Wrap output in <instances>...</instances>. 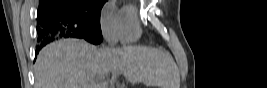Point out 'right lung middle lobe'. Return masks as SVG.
I'll use <instances>...</instances> for the list:
<instances>
[{
	"instance_id": "obj_1",
	"label": "right lung middle lobe",
	"mask_w": 267,
	"mask_h": 88,
	"mask_svg": "<svg viewBox=\"0 0 267 88\" xmlns=\"http://www.w3.org/2000/svg\"><path fill=\"white\" fill-rule=\"evenodd\" d=\"M107 0H40L39 9L57 12L100 33V14Z\"/></svg>"
}]
</instances>
